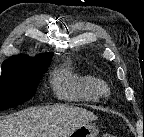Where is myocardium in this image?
Here are the masks:
<instances>
[{"label":"myocardium","instance_id":"obj_1","mask_svg":"<svg viewBox=\"0 0 144 137\" xmlns=\"http://www.w3.org/2000/svg\"><path fill=\"white\" fill-rule=\"evenodd\" d=\"M98 92L100 95L106 96L109 93V90H108V87L106 86V84L99 82Z\"/></svg>","mask_w":144,"mask_h":137}]
</instances>
